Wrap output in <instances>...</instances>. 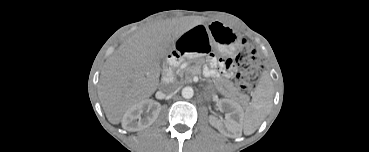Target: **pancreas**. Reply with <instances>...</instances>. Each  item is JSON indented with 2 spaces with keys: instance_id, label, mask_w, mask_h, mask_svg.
<instances>
[{
  "instance_id": "obj_1",
  "label": "pancreas",
  "mask_w": 369,
  "mask_h": 152,
  "mask_svg": "<svg viewBox=\"0 0 369 152\" xmlns=\"http://www.w3.org/2000/svg\"><path fill=\"white\" fill-rule=\"evenodd\" d=\"M188 72L192 73L193 75L195 74H199L201 72L200 66H197L196 68H191L189 70H187ZM220 92L225 95L227 98H230V100L232 101H239V99L243 98L244 95L238 93L235 90H231V91H226L224 89H220Z\"/></svg>"
}]
</instances>
